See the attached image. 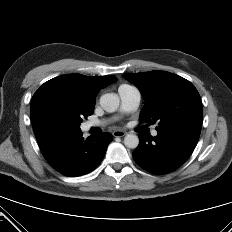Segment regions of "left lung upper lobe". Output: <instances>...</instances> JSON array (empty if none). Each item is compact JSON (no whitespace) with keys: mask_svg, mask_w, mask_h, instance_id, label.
Listing matches in <instances>:
<instances>
[{"mask_svg":"<svg viewBox=\"0 0 232 232\" xmlns=\"http://www.w3.org/2000/svg\"><path fill=\"white\" fill-rule=\"evenodd\" d=\"M123 77L139 88L146 101L139 117L141 123L158 121L156 129L175 124H202L200 95L183 77L160 70Z\"/></svg>","mask_w":232,"mask_h":232,"instance_id":"left-lung-upper-lobe-1","label":"left lung upper lobe"}]
</instances>
